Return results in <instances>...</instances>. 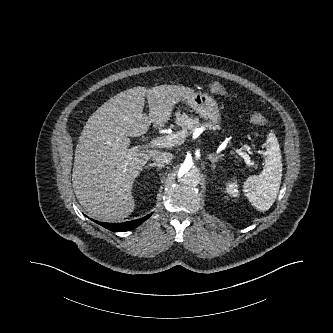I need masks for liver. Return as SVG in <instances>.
<instances>
[{
	"label": "liver",
	"instance_id": "6515ba94",
	"mask_svg": "<svg viewBox=\"0 0 333 333\" xmlns=\"http://www.w3.org/2000/svg\"><path fill=\"white\" fill-rule=\"evenodd\" d=\"M194 93L178 85L134 87L118 93L88 119L75 149L72 186L92 217L123 220L135 208L134 180L158 151L129 149V137L145 134L151 123L164 126L173 107ZM145 97L149 116L143 114Z\"/></svg>",
	"mask_w": 333,
	"mask_h": 333
}]
</instances>
